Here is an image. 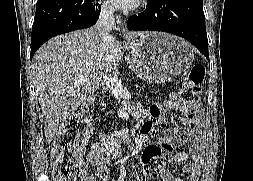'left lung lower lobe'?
I'll list each match as a JSON object with an SVG mask.
<instances>
[{
    "label": "left lung lower lobe",
    "mask_w": 253,
    "mask_h": 181,
    "mask_svg": "<svg viewBox=\"0 0 253 181\" xmlns=\"http://www.w3.org/2000/svg\"><path fill=\"white\" fill-rule=\"evenodd\" d=\"M131 31H162L191 42L208 60L203 0H156L128 19Z\"/></svg>",
    "instance_id": "1"
}]
</instances>
